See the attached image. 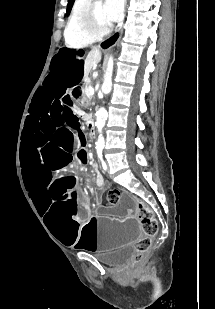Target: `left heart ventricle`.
<instances>
[{"instance_id": "1", "label": "left heart ventricle", "mask_w": 215, "mask_h": 309, "mask_svg": "<svg viewBox=\"0 0 215 309\" xmlns=\"http://www.w3.org/2000/svg\"><path fill=\"white\" fill-rule=\"evenodd\" d=\"M93 15L94 17H97V18H94L93 20L94 25H103L104 20L103 18H100V17H103L104 15L103 10H94Z\"/></svg>"}]
</instances>
